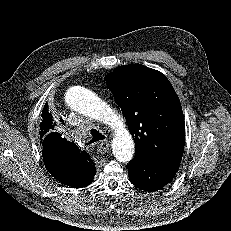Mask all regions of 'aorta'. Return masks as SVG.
<instances>
[{
  "label": "aorta",
  "instance_id": "762f6f07",
  "mask_svg": "<svg viewBox=\"0 0 231 231\" xmlns=\"http://www.w3.org/2000/svg\"><path fill=\"white\" fill-rule=\"evenodd\" d=\"M67 105L80 114L106 124L114 133L112 151L116 159L127 163L134 155V141L123 118L94 92L82 86L70 87L65 93Z\"/></svg>",
  "mask_w": 231,
  "mask_h": 231
}]
</instances>
